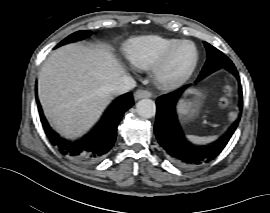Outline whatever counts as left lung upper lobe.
<instances>
[{"mask_svg":"<svg viewBox=\"0 0 270 213\" xmlns=\"http://www.w3.org/2000/svg\"><path fill=\"white\" fill-rule=\"evenodd\" d=\"M204 45L207 50L208 59L198 77V80L206 77L207 75L220 68H228L234 65L232 61L221 51L208 44L207 42H204Z\"/></svg>","mask_w":270,"mask_h":213,"instance_id":"left-lung-upper-lobe-1","label":"left lung upper lobe"}]
</instances>
